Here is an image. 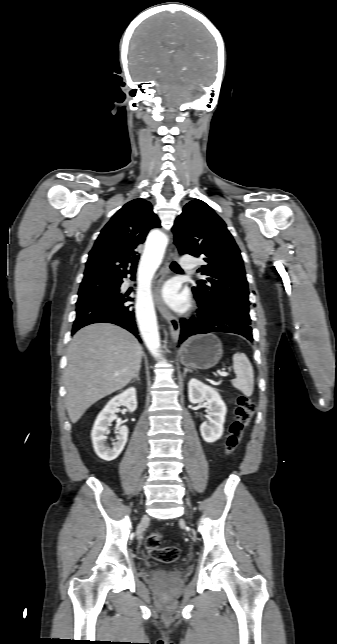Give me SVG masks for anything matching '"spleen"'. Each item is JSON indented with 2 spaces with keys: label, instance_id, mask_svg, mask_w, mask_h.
I'll use <instances>...</instances> for the list:
<instances>
[{
  "label": "spleen",
  "instance_id": "obj_1",
  "mask_svg": "<svg viewBox=\"0 0 337 644\" xmlns=\"http://www.w3.org/2000/svg\"><path fill=\"white\" fill-rule=\"evenodd\" d=\"M233 369L236 378L232 380V385L244 395L251 396L254 390V372L245 354L239 352L234 354Z\"/></svg>",
  "mask_w": 337,
  "mask_h": 644
}]
</instances>
